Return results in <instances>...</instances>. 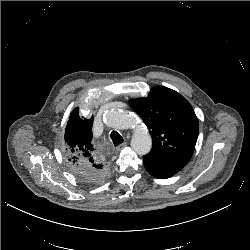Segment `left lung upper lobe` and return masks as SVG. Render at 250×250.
Returning <instances> with one entry per match:
<instances>
[{"label": "left lung upper lobe", "instance_id": "left-lung-upper-lobe-1", "mask_svg": "<svg viewBox=\"0 0 250 250\" xmlns=\"http://www.w3.org/2000/svg\"><path fill=\"white\" fill-rule=\"evenodd\" d=\"M152 137V149L143 160L180 171L191 159L199 133L198 119L190 103L167 87H153L146 98L130 101Z\"/></svg>", "mask_w": 250, "mask_h": 250}]
</instances>
